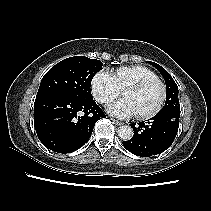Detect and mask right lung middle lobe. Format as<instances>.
Instances as JSON below:
<instances>
[{
	"label": "right lung middle lobe",
	"instance_id": "1",
	"mask_svg": "<svg viewBox=\"0 0 211 211\" xmlns=\"http://www.w3.org/2000/svg\"><path fill=\"white\" fill-rule=\"evenodd\" d=\"M102 66L101 61L84 56L64 59L43 76L36 99L51 96L91 99V81Z\"/></svg>",
	"mask_w": 211,
	"mask_h": 211
}]
</instances>
